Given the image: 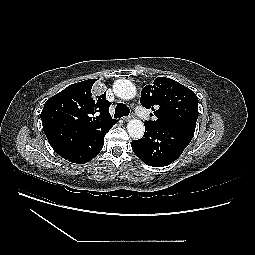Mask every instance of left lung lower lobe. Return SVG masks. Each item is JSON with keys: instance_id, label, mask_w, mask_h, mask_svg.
Wrapping results in <instances>:
<instances>
[{"instance_id": "left-lung-lower-lobe-1", "label": "left lung lower lobe", "mask_w": 255, "mask_h": 255, "mask_svg": "<svg viewBox=\"0 0 255 255\" xmlns=\"http://www.w3.org/2000/svg\"><path fill=\"white\" fill-rule=\"evenodd\" d=\"M145 124L144 136L132 141V149L145 164L163 167L174 162L191 142L194 132Z\"/></svg>"}]
</instances>
